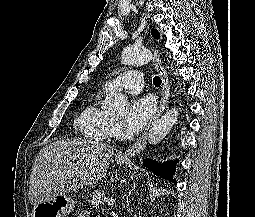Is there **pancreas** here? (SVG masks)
<instances>
[{
  "label": "pancreas",
  "instance_id": "obj_1",
  "mask_svg": "<svg viewBox=\"0 0 255 217\" xmlns=\"http://www.w3.org/2000/svg\"><path fill=\"white\" fill-rule=\"evenodd\" d=\"M105 196L104 191L102 190H96L94 191L92 194L89 195V202L93 205V206H98L99 204H103V198Z\"/></svg>",
  "mask_w": 255,
  "mask_h": 217
}]
</instances>
